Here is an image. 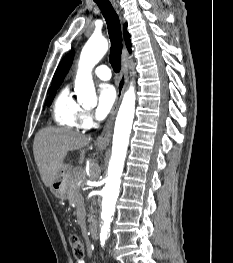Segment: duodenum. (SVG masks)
<instances>
[{"mask_svg": "<svg viewBox=\"0 0 233 263\" xmlns=\"http://www.w3.org/2000/svg\"><path fill=\"white\" fill-rule=\"evenodd\" d=\"M89 233L91 235V237H96L97 236V233H98V224L95 220H92L90 223H89Z\"/></svg>", "mask_w": 233, "mask_h": 263, "instance_id": "410a0bca", "label": "duodenum"}]
</instances>
